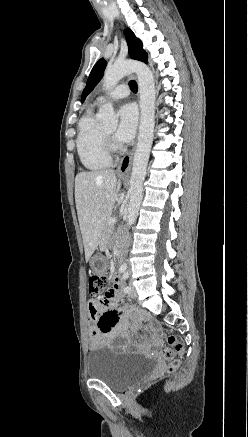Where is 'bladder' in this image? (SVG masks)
I'll return each instance as SVG.
<instances>
[{"mask_svg": "<svg viewBox=\"0 0 248 437\" xmlns=\"http://www.w3.org/2000/svg\"><path fill=\"white\" fill-rule=\"evenodd\" d=\"M156 367V361L143 354L100 349L90 355L87 373L91 379L124 389L151 376Z\"/></svg>", "mask_w": 248, "mask_h": 437, "instance_id": "obj_1", "label": "bladder"}]
</instances>
